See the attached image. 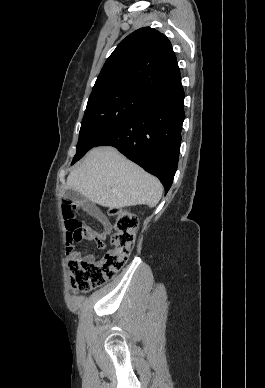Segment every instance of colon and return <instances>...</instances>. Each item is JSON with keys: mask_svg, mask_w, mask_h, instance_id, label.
<instances>
[{"mask_svg": "<svg viewBox=\"0 0 265 388\" xmlns=\"http://www.w3.org/2000/svg\"><path fill=\"white\" fill-rule=\"evenodd\" d=\"M62 213L67 229V254L72 253V245L89 237L86 227L76 218V204L64 201ZM110 215L115 218L114 233L111 237L112 247L101 260L88 262L80 258H70L68 262L72 288L88 292L102 287L113 279L124 266L130 255L136 238L137 221L133 214L123 209H111Z\"/></svg>", "mask_w": 265, "mask_h": 388, "instance_id": "obj_1", "label": "colon"}]
</instances>
